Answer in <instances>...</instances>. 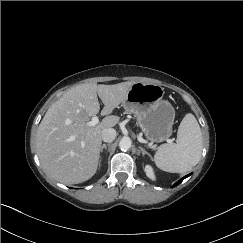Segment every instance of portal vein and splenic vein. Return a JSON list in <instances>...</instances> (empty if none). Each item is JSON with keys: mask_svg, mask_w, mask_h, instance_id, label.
<instances>
[{"mask_svg": "<svg viewBox=\"0 0 243 243\" xmlns=\"http://www.w3.org/2000/svg\"><path fill=\"white\" fill-rule=\"evenodd\" d=\"M99 123V119L97 116H93L91 121L88 123L89 126H95ZM138 140L141 142V143H145L144 139L138 137ZM171 142H173V140H171Z\"/></svg>", "mask_w": 243, "mask_h": 243, "instance_id": "obj_1", "label": "portal vein and splenic vein"}]
</instances>
